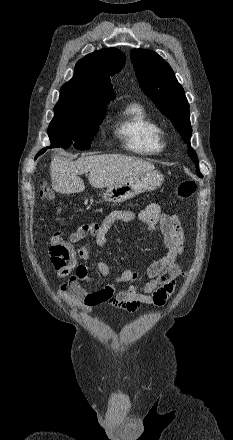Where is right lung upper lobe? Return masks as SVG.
Here are the masks:
<instances>
[{
    "instance_id": "right-lung-upper-lobe-1",
    "label": "right lung upper lobe",
    "mask_w": 233,
    "mask_h": 440,
    "mask_svg": "<svg viewBox=\"0 0 233 440\" xmlns=\"http://www.w3.org/2000/svg\"><path fill=\"white\" fill-rule=\"evenodd\" d=\"M124 64L125 55L116 48L88 54L77 62L74 77L61 87L58 104L107 106L115 98L110 77Z\"/></svg>"
}]
</instances>
